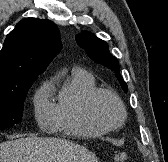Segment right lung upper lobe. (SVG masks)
Returning a JSON list of instances; mask_svg holds the SVG:
<instances>
[{
  "instance_id": "right-lung-upper-lobe-1",
  "label": "right lung upper lobe",
  "mask_w": 168,
  "mask_h": 162,
  "mask_svg": "<svg viewBox=\"0 0 168 162\" xmlns=\"http://www.w3.org/2000/svg\"><path fill=\"white\" fill-rule=\"evenodd\" d=\"M57 26L50 20H21L0 51V87L36 79L61 49Z\"/></svg>"
}]
</instances>
